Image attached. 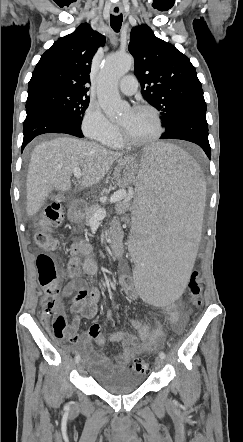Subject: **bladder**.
<instances>
[{"instance_id":"bladder-1","label":"bladder","mask_w":243,"mask_h":442,"mask_svg":"<svg viewBox=\"0 0 243 442\" xmlns=\"http://www.w3.org/2000/svg\"><path fill=\"white\" fill-rule=\"evenodd\" d=\"M95 383L113 395H125L138 389L143 381L135 373L114 367L96 368L93 370Z\"/></svg>"}]
</instances>
